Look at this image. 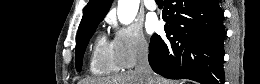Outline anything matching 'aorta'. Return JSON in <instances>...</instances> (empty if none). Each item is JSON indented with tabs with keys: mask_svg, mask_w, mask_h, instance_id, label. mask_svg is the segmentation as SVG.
<instances>
[{
	"mask_svg": "<svg viewBox=\"0 0 260 84\" xmlns=\"http://www.w3.org/2000/svg\"><path fill=\"white\" fill-rule=\"evenodd\" d=\"M139 0H118L117 17L120 23L128 25L135 19Z\"/></svg>",
	"mask_w": 260,
	"mask_h": 84,
	"instance_id": "1",
	"label": "aorta"
}]
</instances>
